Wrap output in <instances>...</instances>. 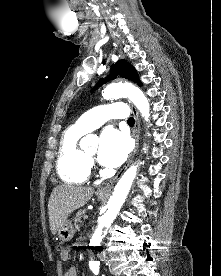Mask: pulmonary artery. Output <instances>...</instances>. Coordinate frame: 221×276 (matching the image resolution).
Wrapping results in <instances>:
<instances>
[{"label":"pulmonary artery","instance_id":"pulmonary-artery-1","mask_svg":"<svg viewBox=\"0 0 221 276\" xmlns=\"http://www.w3.org/2000/svg\"><path fill=\"white\" fill-rule=\"evenodd\" d=\"M129 109L123 103H113L95 107L84 113L75 123V127L82 132H89L100 127L109 119H126Z\"/></svg>","mask_w":221,"mask_h":276}]
</instances>
